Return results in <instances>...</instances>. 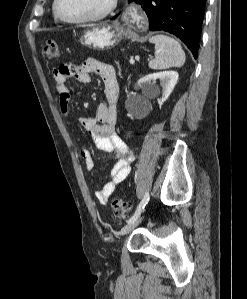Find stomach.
Masks as SVG:
<instances>
[{"label": "stomach", "instance_id": "1", "mask_svg": "<svg viewBox=\"0 0 247 299\" xmlns=\"http://www.w3.org/2000/svg\"><path fill=\"white\" fill-rule=\"evenodd\" d=\"M123 36V27L119 23H104L87 29L80 42L82 45L92 49L108 50L115 47L122 40Z\"/></svg>", "mask_w": 247, "mask_h": 299}]
</instances>
